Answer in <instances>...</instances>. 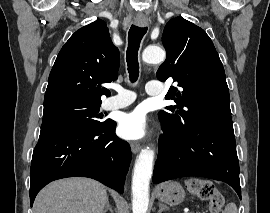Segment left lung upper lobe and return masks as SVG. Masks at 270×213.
<instances>
[{
  "instance_id": "obj_1",
  "label": "left lung upper lobe",
  "mask_w": 270,
  "mask_h": 213,
  "mask_svg": "<svg viewBox=\"0 0 270 213\" xmlns=\"http://www.w3.org/2000/svg\"><path fill=\"white\" fill-rule=\"evenodd\" d=\"M162 43L167 52L157 78H173L179 88L171 87L165 96L177 106L160 111L162 123L185 132L198 123L233 126L229 89L219 55L206 32L182 17L165 26Z\"/></svg>"
}]
</instances>
